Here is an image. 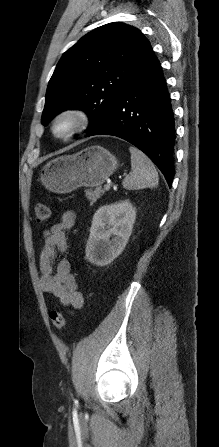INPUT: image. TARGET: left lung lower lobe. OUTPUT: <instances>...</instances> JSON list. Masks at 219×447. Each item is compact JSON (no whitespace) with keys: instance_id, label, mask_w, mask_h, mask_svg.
Returning <instances> with one entry per match:
<instances>
[{"instance_id":"0a47b994","label":"left lung lower lobe","mask_w":219,"mask_h":447,"mask_svg":"<svg viewBox=\"0 0 219 447\" xmlns=\"http://www.w3.org/2000/svg\"><path fill=\"white\" fill-rule=\"evenodd\" d=\"M113 135L143 151L171 186L174 115L162 68L148 47L103 121L88 136Z\"/></svg>"}]
</instances>
